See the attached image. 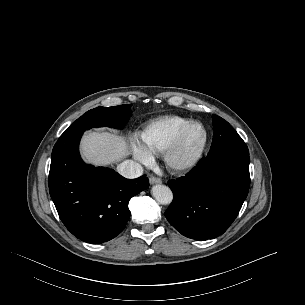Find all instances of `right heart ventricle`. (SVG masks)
Segmentation results:
<instances>
[{
    "mask_svg": "<svg viewBox=\"0 0 305 305\" xmlns=\"http://www.w3.org/2000/svg\"><path fill=\"white\" fill-rule=\"evenodd\" d=\"M192 120L181 116H168L148 124L141 132L144 148L151 153H164L181 130Z\"/></svg>",
    "mask_w": 305,
    "mask_h": 305,
    "instance_id": "1",
    "label": "right heart ventricle"
}]
</instances>
